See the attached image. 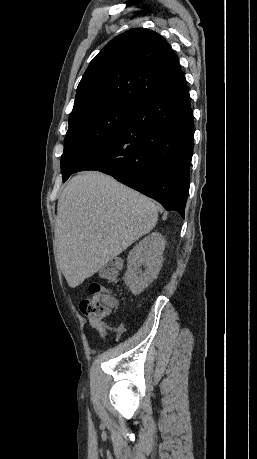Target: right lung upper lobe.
I'll return each mask as SVG.
<instances>
[{
	"instance_id": "obj_1",
	"label": "right lung upper lobe",
	"mask_w": 257,
	"mask_h": 459,
	"mask_svg": "<svg viewBox=\"0 0 257 459\" xmlns=\"http://www.w3.org/2000/svg\"><path fill=\"white\" fill-rule=\"evenodd\" d=\"M184 76L176 54L158 33L134 28L116 36L90 62L69 122L110 107L136 108Z\"/></svg>"
}]
</instances>
